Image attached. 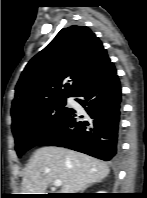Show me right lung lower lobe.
<instances>
[{
  "label": "right lung lower lobe",
  "mask_w": 147,
  "mask_h": 198,
  "mask_svg": "<svg viewBox=\"0 0 147 198\" xmlns=\"http://www.w3.org/2000/svg\"><path fill=\"white\" fill-rule=\"evenodd\" d=\"M86 110L83 121H76L71 110L63 123L37 146L55 145L109 161L117 153L121 87L111 61L75 95ZM82 117V116H81Z\"/></svg>",
  "instance_id": "98d812e1"
}]
</instances>
